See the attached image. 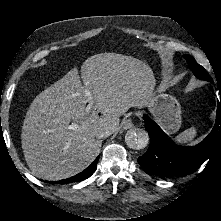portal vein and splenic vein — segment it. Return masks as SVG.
Wrapping results in <instances>:
<instances>
[{
	"instance_id": "18ae733b",
	"label": "portal vein and splenic vein",
	"mask_w": 221,
	"mask_h": 221,
	"mask_svg": "<svg viewBox=\"0 0 221 221\" xmlns=\"http://www.w3.org/2000/svg\"><path fill=\"white\" fill-rule=\"evenodd\" d=\"M84 93H85V96L87 97V101H88V104L86 107V112H90L92 109V106H93L92 95H91L90 91L87 89H84ZM77 128H78V125L76 123H72L71 125L68 126L69 130H76Z\"/></svg>"
}]
</instances>
